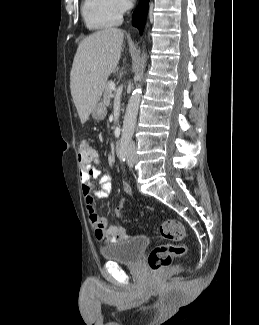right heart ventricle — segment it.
Here are the masks:
<instances>
[{
    "label": "right heart ventricle",
    "mask_w": 259,
    "mask_h": 325,
    "mask_svg": "<svg viewBox=\"0 0 259 325\" xmlns=\"http://www.w3.org/2000/svg\"><path fill=\"white\" fill-rule=\"evenodd\" d=\"M81 14L91 30H104L121 22V15L115 11L111 0H83Z\"/></svg>",
    "instance_id": "obj_1"
}]
</instances>
